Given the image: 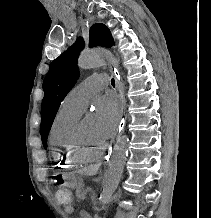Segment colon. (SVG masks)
<instances>
[{
    "instance_id": "obj_1",
    "label": "colon",
    "mask_w": 211,
    "mask_h": 218,
    "mask_svg": "<svg viewBox=\"0 0 211 218\" xmlns=\"http://www.w3.org/2000/svg\"><path fill=\"white\" fill-rule=\"evenodd\" d=\"M55 197L60 205L68 206L73 203L72 191L66 185H59L55 192Z\"/></svg>"
}]
</instances>
